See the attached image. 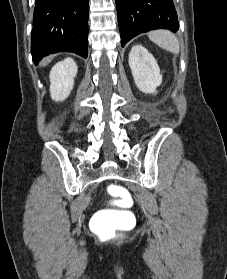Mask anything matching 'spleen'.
Here are the masks:
<instances>
[{"mask_svg":"<svg viewBox=\"0 0 227 279\" xmlns=\"http://www.w3.org/2000/svg\"><path fill=\"white\" fill-rule=\"evenodd\" d=\"M151 41L156 43L162 49H165L173 54H178L180 50L177 37L167 30H156L148 34Z\"/></svg>","mask_w":227,"mask_h":279,"instance_id":"spleen-1","label":"spleen"}]
</instances>
